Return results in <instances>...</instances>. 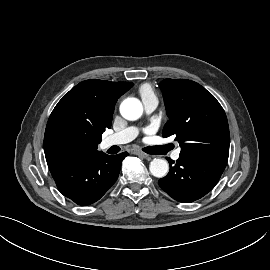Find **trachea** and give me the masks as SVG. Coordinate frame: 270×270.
<instances>
[{
	"instance_id": "trachea-1",
	"label": "trachea",
	"mask_w": 270,
	"mask_h": 270,
	"mask_svg": "<svg viewBox=\"0 0 270 270\" xmlns=\"http://www.w3.org/2000/svg\"><path fill=\"white\" fill-rule=\"evenodd\" d=\"M164 150H166V146H149L143 149V151L148 154H160Z\"/></svg>"
}]
</instances>
